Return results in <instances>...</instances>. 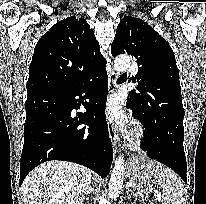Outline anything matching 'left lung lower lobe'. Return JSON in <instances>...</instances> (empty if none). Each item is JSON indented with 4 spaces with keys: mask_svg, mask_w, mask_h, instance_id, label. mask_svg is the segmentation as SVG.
Masks as SVG:
<instances>
[{
    "mask_svg": "<svg viewBox=\"0 0 206 204\" xmlns=\"http://www.w3.org/2000/svg\"><path fill=\"white\" fill-rule=\"evenodd\" d=\"M140 93H129L127 108L132 109L133 116L145 127V143L143 149L151 159H155L173 169L187 182L186 157L184 153L183 105L180 102L171 103L159 110L155 122L146 123L138 113V98Z\"/></svg>",
    "mask_w": 206,
    "mask_h": 204,
    "instance_id": "0a47b994",
    "label": "left lung lower lobe"
}]
</instances>
